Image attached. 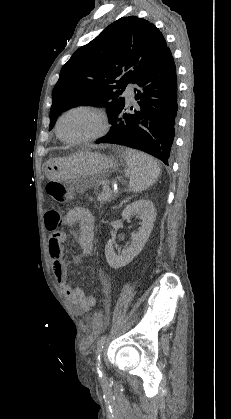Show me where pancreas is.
Wrapping results in <instances>:
<instances>
[{
	"mask_svg": "<svg viewBox=\"0 0 231 419\" xmlns=\"http://www.w3.org/2000/svg\"><path fill=\"white\" fill-rule=\"evenodd\" d=\"M112 191L107 188L106 185L103 186L102 192L98 195V201L101 204H104L106 202H109L113 199Z\"/></svg>",
	"mask_w": 231,
	"mask_h": 419,
	"instance_id": "obj_1",
	"label": "pancreas"
}]
</instances>
